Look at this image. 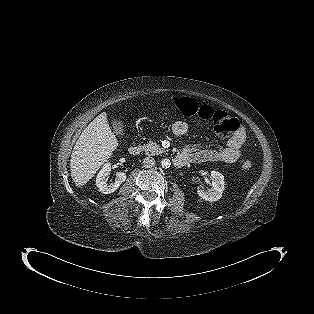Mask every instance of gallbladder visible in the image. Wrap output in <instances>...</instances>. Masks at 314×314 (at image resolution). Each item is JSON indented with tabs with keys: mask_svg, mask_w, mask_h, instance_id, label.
Wrapping results in <instances>:
<instances>
[{
	"mask_svg": "<svg viewBox=\"0 0 314 314\" xmlns=\"http://www.w3.org/2000/svg\"><path fill=\"white\" fill-rule=\"evenodd\" d=\"M112 127H113L114 132L117 135L119 136L125 135V128H124L123 122L120 121L119 119L117 118L112 119Z\"/></svg>",
	"mask_w": 314,
	"mask_h": 314,
	"instance_id": "obj_1",
	"label": "gallbladder"
}]
</instances>
